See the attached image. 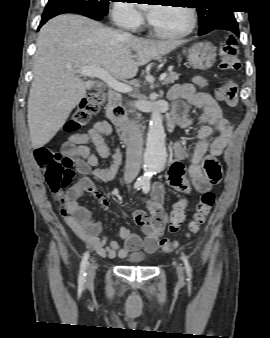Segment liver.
Instances as JSON below:
<instances>
[{"label":"liver","mask_w":270,"mask_h":338,"mask_svg":"<svg viewBox=\"0 0 270 338\" xmlns=\"http://www.w3.org/2000/svg\"><path fill=\"white\" fill-rule=\"evenodd\" d=\"M181 44L125 36L80 15L65 14L49 20L38 34L28 98L33 148L44 146L56 135L96 83L82 80L69 66L103 68L113 78L124 81L135 77L140 66Z\"/></svg>","instance_id":"6515ba94"}]
</instances>
